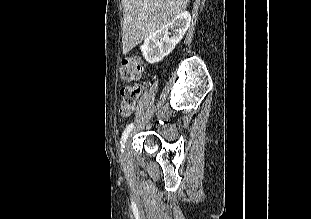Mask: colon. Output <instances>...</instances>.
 I'll return each mask as SVG.
<instances>
[{"mask_svg":"<svg viewBox=\"0 0 311 219\" xmlns=\"http://www.w3.org/2000/svg\"><path fill=\"white\" fill-rule=\"evenodd\" d=\"M144 73V64L137 56H129L121 59L119 63V78L122 84V104L133 107L140 96L141 88L131 83L137 80Z\"/></svg>","mask_w":311,"mask_h":219,"instance_id":"1","label":"colon"}]
</instances>
